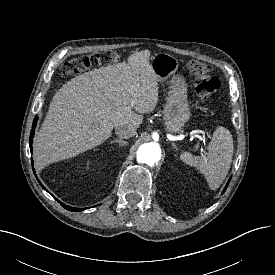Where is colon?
Instances as JSON below:
<instances>
[{"instance_id":"obj_1","label":"colon","mask_w":275,"mask_h":275,"mask_svg":"<svg viewBox=\"0 0 275 275\" xmlns=\"http://www.w3.org/2000/svg\"><path fill=\"white\" fill-rule=\"evenodd\" d=\"M118 58V54L114 51H98L65 62L61 66L60 71L65 76L77 75L91 68L113 64ZM186 70L192 78L196 93L202 100H209L220 87V81L214 76L213 68L210 64L198 60H190L186 64Z\"/></svg>"}]
</instances>
